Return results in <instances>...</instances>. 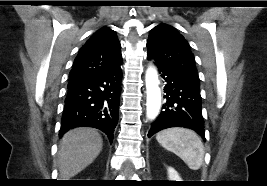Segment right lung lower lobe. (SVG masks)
Segmentation results:
<instances>
[{"mask_svg": "<svg viewBox=\"0 0 267 186\" xmlns=\"http://www.w3.org/2000/svg\"><path fill=\"white\" fill-rule=\"evenodd\" d=\"M121 64L69 79L60 136L68 130L94 127L113 141L118 123Z\"/></svg>", "mask_w": 267, "mask_h": 186, "instance_id": "1", "label": "right lung lower lobe"}]
</instances>
